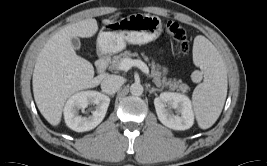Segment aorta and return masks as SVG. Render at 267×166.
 Listing matches in <instances>:
<instances>
[{"instance_id":"762f6f07","label":"aorta","mask_w":267,"mask_h":166,"mask_svg":"<svg viewBox=\"0 0 267 166\" xmlns=\"http://www.w3.org/2000/svg\"><path fill=\"white\" fill-rule=\"evenodd\" d=\"M130 92L134 96H140L143 93V86L141 84H138V83H133L130 86Z\"/></svg>"}]
</instances>
